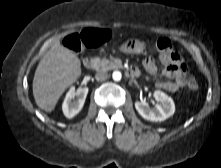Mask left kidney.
I'll return each instance as SVG.
<instances>
[{"label":"left kidney","mask_w":221,"mask_h":168,"mask_svg":"<svg viewBox=\"0 0 221 168\" xmlns=\"http://www.w3.org/2000/svg\"><path fill=\"white\" fill-rule=\"evenodd\" d=\"M154 98L159 103L150 108L145 102H135L137 112L146 120L161 122L171 117L175 112V105L171 97L160 90L154 92Z\"/></svg>","instance_id":"left-kidney-1"}]
</instances>
